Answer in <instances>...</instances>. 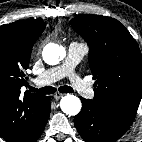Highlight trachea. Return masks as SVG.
I'll list each match as a JSON object with an SVG mask.
<instances>
[{"mask_svg":"<svg viewBox=\"0 0 142 142\" xmlns=\"http://www.w3.org/2000/svg\"><path fill=\"white\" fill-rule=\"evenodd\" d=\"M31 92H36L39 94H53L56 92V89L52 86H46L42 88H34V87H29ZM58 91L61 93H72L73 89L70 86H61L58 88Z\"/></svg>","mask_w":142,"mask_h":142,"instance_id":"3493384b","label":"trachea"}]
</instances>
